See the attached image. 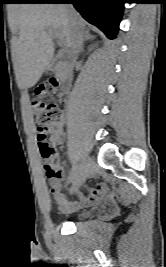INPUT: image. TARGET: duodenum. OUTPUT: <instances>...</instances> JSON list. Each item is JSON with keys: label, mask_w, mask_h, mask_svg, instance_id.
Returning a JSON list of instances; mask_svg holds the SVG:
<instances>
[{"label": "duodenum", "mask_w": 166, "mask_h": 267, "mask_svg": "<svg viewBox=\"0 0 166 267\" xmlns=\"http://www.w3.org/2000/svg\"><path fill=\"white\" fill-rule=\"evenodd\" d=\"M48 68L56 74L57 78L62 83L63 91L65 93L68 92L73 80V73L70 65L65 62L52 60L49 62Z\"/></svg>", "instance_id": "obj_1"}]
</instances>
